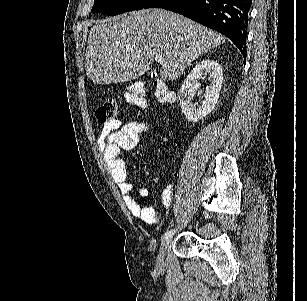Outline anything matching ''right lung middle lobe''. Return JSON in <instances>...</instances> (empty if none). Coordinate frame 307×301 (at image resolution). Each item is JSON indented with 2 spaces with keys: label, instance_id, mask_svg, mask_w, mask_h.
<instances>
[{
  "label": "right lung middle lobe",
  "instance_id": "dd1d6c3e",
  "mask_svg": "<svg viewBox=\"0 0 307 301\" xmlns=\"http://www.w3.org/2000/svg\"><path fill=\"white\" fill-rule=\"evenodd\" d=\"M152 0H94L92 13H104L110 16L127 11L143 9Z\"/></svg>",
  "mask_w": 307,
  "mask_h": 301
}]
</instances>
